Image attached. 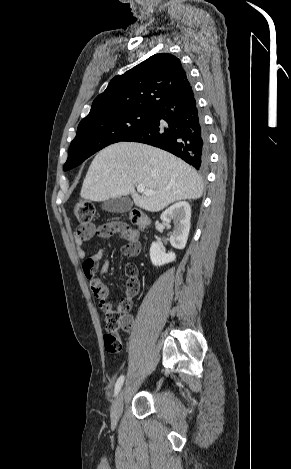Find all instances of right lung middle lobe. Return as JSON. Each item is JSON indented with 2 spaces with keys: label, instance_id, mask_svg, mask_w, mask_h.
<instances>
[{
  "label": "right lung middle lobe",
  "instance_id": "1",
  "mask_svg": "<svg viewBox=\"0 0 291 469\" xmlns=\"http://www.w3.org/2000/svg\"><path fill=\"white\" fill-rule=\"evenodd\" d=\"M153 110L134 109L113 116L82 120L71 142L64 170L81 164L100 149L122 141L144 126Z\"/></svg>",
  "mask_w": 291,
  "mask_h": 469
}]
</instances>
